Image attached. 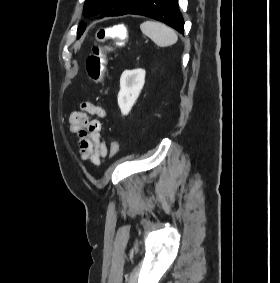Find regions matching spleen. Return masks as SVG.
I'll use <instances>...</instances> for the list:
<instances>
[{
	"label": "spleen",
	"mask_w": 280,
	"mask_h": 283,
	"mask_svg": "<svg viewBox=\"0 0 280 283\" xmlns=\"http://www.w3.org/2000/svg\"><path fill=\"white\" fill-rule=\"evenodd\" d=\"M140 29L159 47L174 45L178 40V36L172 28L159 22L145 21L140 25Z\"/></svg>",
	"instance_id": "1"
}]
</instances>
